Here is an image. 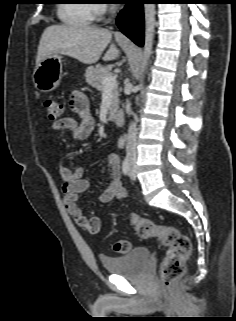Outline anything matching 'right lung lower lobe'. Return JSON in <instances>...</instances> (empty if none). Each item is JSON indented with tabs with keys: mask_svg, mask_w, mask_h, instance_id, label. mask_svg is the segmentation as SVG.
Listing matches in <instances>:
<instances>
[{
	"mask_svg": "<svg viewBox=\"0 0 236 321\" xmlns=\"http://www.w3.org/2000/svg\"><path fill=\"white\" fill-rule=\"evenodd\" d=\"M147 0H126L125 8L117 17L121 31L138 46L144 44L143 3Z\"/></svg>",
	"mask_w": 236,
	"mask_h": 321,
	"instance_id": "obj_1",
	"label": "right lung lower lobe"
}]
</instances>
